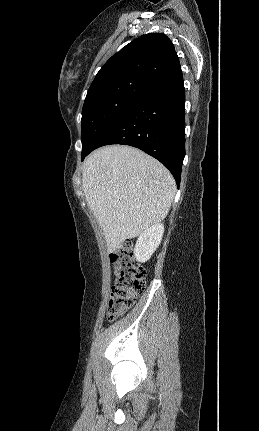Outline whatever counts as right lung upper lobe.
Wrapping results in <instances>:
<instances>
[{
  "label": "right lung upper lobe",
  "mask_w": 259,
  "mask_h": 431,
  "mask_svg": "<svg viewBox=\"0 0 259 431\" xmlns=\"http://www.w3.org/2000/svg\"><path fill=\"white\" fill-rule=\"evenodd\" d=\"M182 75L172 41L163 33L143 35L114 54L99 70L87 96L133 81L149 88Z\"/></svg>",
  "instance_id": "cb5924a9"
}]
</instances>
